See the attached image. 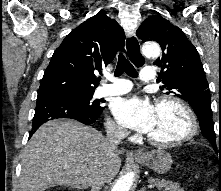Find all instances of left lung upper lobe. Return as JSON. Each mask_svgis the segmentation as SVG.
I'll list each match as a JSON object with an SVG mask.
<instances>
[{
	"mask_svg": "<svg viewBox=\"0 0 221 191\" xmlns=\"http://www.w3.org/2000/svg\"><path fill=\"white\" fill-rule=\"evenodd\" d=\"M136 34L143 42L155 41L160 44L163 53L154 64L163 71L159 77L164 84L161 90L182 98L192 106L202 135L217 149L209 86L196 48L180 28L161 16L148 17Z\"/></svg>",
	"mask_w": 221,
	"mask_h": 191,
	"instance_id": "1",
	"label": "left lung upper lobe"
}]
</instances>
